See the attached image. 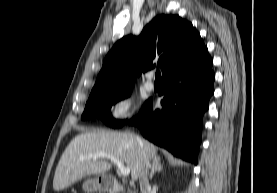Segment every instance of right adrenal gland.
I'll use <instances>...</instances> for the list:
<instances>
[{"label": "right adrenal gland", "instance_id": "1", "mask_svg": "<svg viewBox=\"0 0 277 193\" xmlns=\"http://www.w3.org/2000/svg\"><path fill=\"white\" fill-rule=\"evenodd\" d=\"M163 170L161 159L160 157H157L153 160L152 166H151V172H150V180L153 179V176L156 172H160Z\"/></svg>", "mask_w": 277, "mask_h": 193}]
</instances>
